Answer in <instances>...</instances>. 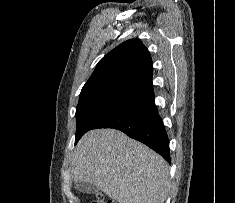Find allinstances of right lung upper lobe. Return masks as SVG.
Instances as JSON below:
<instances>
[{
	"instance_id": "cb5924a9",
	"label": "right lung upper lobe",
	"mask_w": 235,
	"mask_h": 203,
	"mask_svg": "<svg viewBox=\"0 0 235 203\" xmlns=\"http://www.w3.org/2000/svg\"><path fill=\"white\" fill-rule=\"evenodd\" d=\"M152 60L139 39L127 40L106 54L82 89L107 83L152 85Z\"/></svg>"
}]
</instances>
